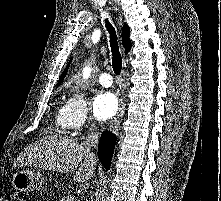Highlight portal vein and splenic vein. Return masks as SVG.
<instances>
[{
    "instance_id": "18ae733b",
    "label": "portal vein and splenic vein",
    "mask_w": 221,
    "mask_h": 201,
    "mask_svg": "<svg viewBox=\"0 0 221 201\" xmlns=\"http://www.w3.org/2000/svg\"><path fill=\"white\" fill-rule=\"evenodd\" d=\"M75 200V196H70L69 198H68V201H74Z\"/></svg>"
}]
</instances>
